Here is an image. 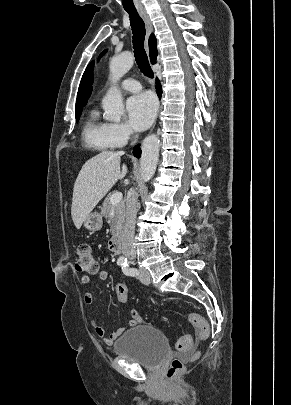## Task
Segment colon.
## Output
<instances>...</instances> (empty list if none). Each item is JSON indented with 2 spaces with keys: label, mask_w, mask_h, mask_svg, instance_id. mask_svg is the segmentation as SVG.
Here are the masks:
<instances>
[{
  "label": "colon",
  "mask_w": 291,
  "mask_h": 405,
  "mask_svg": "<svg viewBox=\"0 0 291 405\" xmlns=\"http://www.w3.org/2000/svg\"><path fill=\"white\" fill-rule=\"evenodd\" d=\"M75 268L79 272H87L95 274L98 272L99 266L92 248L88 244H80L77 247V254L75 259ZM115 293L118 301L124 303L128 299V289L124 282L119 281L115 285ZM190 323L196 328L199 338L201 340H207L210 336V326L207 320L195 313L189 314ZM192 344V337L185 335L181 337L177 342V348L181 351H186ZM198 357V354L194 358ZM184 363L181 359L176 358L171 362V365L167 371V377L169 379L175 378L183 369Z\"/></svg>",
  "instance_id": "obj_1"
}]
</instances>
